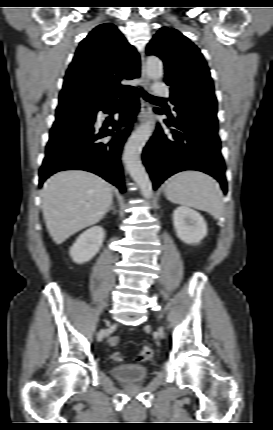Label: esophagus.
<instances>
[{
	"mask_svg": "<svg viewBox=\"0 0 273 430\" xmlns=\"http://www.w3.org/2000/svg\"><path fill=\"white\" fill-rule=\"evenodd\" d=\"M142 63H143V57H142ZM141 83L144 89H147L149 85V78L147 77L145 70L142 66L141 71ZM141 121L151 120V107L148 102L145 100H141V112L139 116Z\"/></svg>",
	"mask_w": 273,
	"mask_h": 430,
	"instance_id": "34e87169",
	"label": "esophagus"
}]
</instances>
